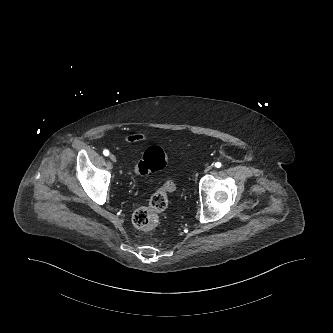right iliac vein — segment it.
Masks as SVG:
<instances>
[{
    "instance_id": "right-iliac-vein-1",
    "label": "right iliac vein",
    "mask_w": 333,
    "mask_h": 333,
    "mask_svg": "<svg viewBox=\"0 0 333 333\" xmlns=\"http://www.w3.org/2000/svg\"><path fill=\"white\" fill-rule=\"evenodd\" d=\"M109 158H110V160L112 162H116L117 161L116 156L114 154H110Z\"/></svg>"
}]
</instances>
